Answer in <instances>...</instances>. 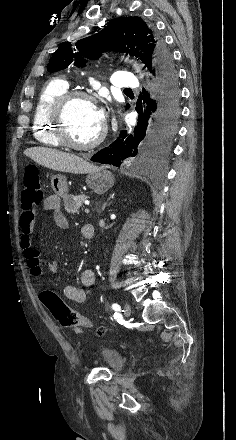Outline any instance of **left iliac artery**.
I'll use <instances>...</instances> for the list:
<instances>
[{"label":"left iliac artery","mask_w":236,"mask_h":440,"mask_svg":"<svg viewBox=\"0 0 236 440\" xmlns=\"http://www.w3.org/2000/svg\"><path fill=\"white\" fill-rule=\"evenodd\" d=\"M112 308H113V310H115V311H120V310H121L120 305H118L117 303H114V304L112 305Z\"/></svg>","instance_id":"left-iliac-artery-1"}]
</instances>
